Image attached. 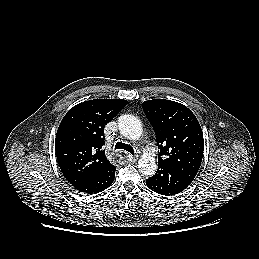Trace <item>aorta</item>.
Masks as SVG:
<instances>
[{"mask_svg": "<svg viewBox=\"0 0 259 259\" xmlns=\"http://www.w3.org/2000/svg\"><path fill=\"white\" fill-rule=\"evenodd\" d=\"M118 128L120 133L131 140H137L142 135V124L140 120L129 114L121 115L118 118ZM139 171L145 176H153L157 170L155 158L149 154L141 156L138 162Z\"/></svg>", "mask_w": 259, "mask_h": 259, "instance_id": "762f6f07", "label": "aorta"}]
</instances>
